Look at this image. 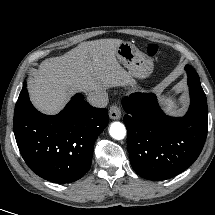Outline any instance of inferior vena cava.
Listing matches in <instances>:
<instances>
[{
    "label": "inferior vena cava",
    "mask_w": 215,
    "mask_h": 215,
    "mask_svg": "<svg viewBox=\"0 0 215 215\" xmlns=\"http://www.w3.org/2000/svg\"><path fill=\"white\" fill-rule=\"evenodd\" d=\"M87 101L92 106L104 108L108 104V94L104 91L91 92L87 96Z\"/></svg>",
    "instance_id": "602c4592"
}]
</instances>
